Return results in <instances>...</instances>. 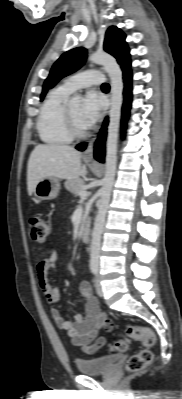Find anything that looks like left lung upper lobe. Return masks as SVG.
Returning <instances> with one entry per match:
<instances>
[{
  "mask_svg": "<svg viewBox=\"0 0 182 399\" xmlns=\"http://www.w3.org/2000/svg\"><path fill=\"white\" fill-rule=\"evenodd\" d=\"M104 50L113 55L122 70L130 68V54L125 42V34L115 26L109 27L104 40ZM85 48L78 47L65 52L53 65L48 78L43 85V91L40 99L43 100L48 89L63 77L78 70L85 62L87 57Z\"/></svg>",
  "mask_w": 182,
  "mask_h": 399,
  "instance_id": "1",
  "label": "left lung upper lobe"
}]
</instances>
